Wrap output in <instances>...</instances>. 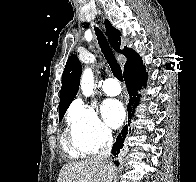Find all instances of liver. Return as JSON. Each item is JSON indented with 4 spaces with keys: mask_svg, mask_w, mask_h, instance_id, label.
I'll use <instances>...</instances> for the list:
<instances>
[{
    "mask_svg": "<svg viewBox=\"0 0 196 182\" xmlns=\"http://www.w3.org/2000/svg\"><path fill=\"white\" fill-rule=\"evenodd\" d=\"M113 173L112 164L89 158L64 165L57 182H111Z\"/></svg>",
    "mask_w": 196,
    "mask_h": 182,
    "instance_id": "1",
    "label": "liver"
}]
</instances>
